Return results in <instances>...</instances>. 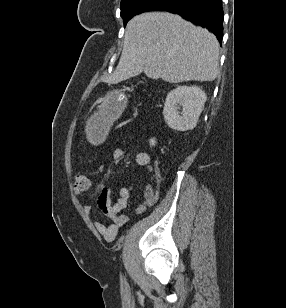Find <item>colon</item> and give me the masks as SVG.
<instances>
[{
  "mask_svg": "<svg viewBox=\"0 0 286 308\" xmlns=\"http://www.w3.org/2000/svg\"><path fill=\"white\" fill-rule=\"evenodd\" d=\"M91 187V181L85 174H76L74 176V191L76 193H83L89 190Z\"/></svg>",
  "mask_w": 286,
  "mask_h": 308,
  "instance_id": "1",
  "label": "colon"
}]
</instances>
